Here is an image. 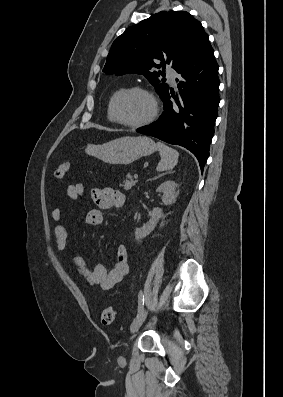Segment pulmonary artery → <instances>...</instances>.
<instances>
[{
    "instance_id": "e3ab8cb5",
    "label": "pulmonary artery",
    "mask_w": 283,
    "mask_h": 397,
    "mask_svg": "<svg viewBox=\"0 0 283 397\" xmlns=\"http://www.w3.org/2000/svg\"><path fill=\"white\" fill-rule=\"evenodd\" d=\"M167 75L173 84L176 83L177 73L173 69L167 70Z\"/></svg>"
}]
</instances>
